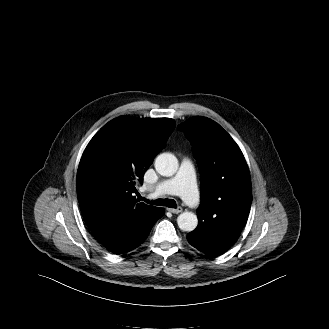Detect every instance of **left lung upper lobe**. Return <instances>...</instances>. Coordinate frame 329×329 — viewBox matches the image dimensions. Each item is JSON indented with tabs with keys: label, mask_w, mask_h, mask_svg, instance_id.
I'll list each match as a JSON object with an SVG mask.
<instances>
[{
	"label": "left lung upper lobe",
	"mask_w": 329,
	"mask_h": 329,
	"mask_svg": "<svg viewBox=\"0 0 329 329\" xmlns=\"http://www.w3.org/2000/svg\"><path fill=\"white\" fill-rule=\"evenodd\" d=\"M179 128L193 145L201 175L198 227L220 233L230 222L244 226L252 187L240 148L220 125L205 117L190 118Z\"/></svg>",
	"instance_id": "5c2ea615"
}]
</instances>
